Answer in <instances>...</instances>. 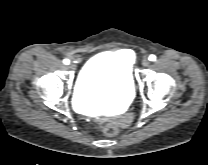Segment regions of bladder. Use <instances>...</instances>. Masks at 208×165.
Instances as JSON below:
<instances>
[{
    "instance_id": "obj_1",
    "label": "bladder",
    "mask_w": 208,
    "mask_h": 165,
    "mask_svg": "<svg viewBox=\"0 0 208 165\" xmlns=\"http://www.w3.org/2000/svg\"><path fill=\"white\" fill-rule=\"evenodd\" d=\"M134 94L129 63L120 51L102 52L89 59L80 71L74 96L77 104L120 108Z\"/></svg>"
}]
</instances>
